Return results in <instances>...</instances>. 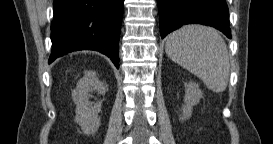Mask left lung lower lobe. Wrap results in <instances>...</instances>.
Wrapping results in <instances>:
<instances>
[{"label":"left lung lower lobe","mask_w":273,"mask_h":144,"mask_svg":"<svg viewBox=\"0 0 273 144\" xmlns=\"http://www.w3.org/2000/svg\"><path fill=\"white\" fill-rule=\"evenodd\" d=\"M160 34H167L185 24L212 26L231 38L229 12L225 0H157Z\"/></svg>","instance_id":"1"}]
</instances>
